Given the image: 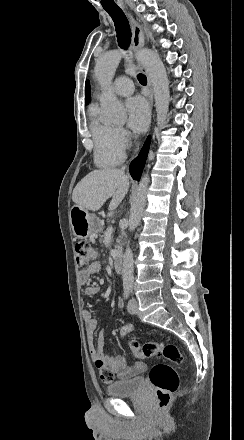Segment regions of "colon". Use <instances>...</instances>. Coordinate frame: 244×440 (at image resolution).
Instances as JSON below:
<instances>
[{
    "mask_svg": "<svg viewBox=\"0 0 244 440\" xmlns=\"http://www.w3.org/2000/svg\"><path fill=\"white\" fill-rule=\"evenodd\" d=\"M75 259L76 265L79 269H84L88 262L94 261L98 256V251L94 247H88L83 240L75 244ZM133 325L127 324L125 326L124 335H129L132 331ZM129 347L137 361L152 356H161L173 363H181L183 361V354L176 345L166 344L163 341L155 343H145L140 345L137 341H129ZM96 366L100 370L101 377L106 382H113L114 375L106 368L102 360L96 361ZM151 382L156 389V397L158 400L157 408L159 410H166L168 403L172 398V394L179 385L177 374L167 364H157L151 366Z\"/></svg>",
    "mask_w": 244,
    "mask_h": 440,
    "instance_id": "obj_1",
    "label": "colon"
}]
</instances>
